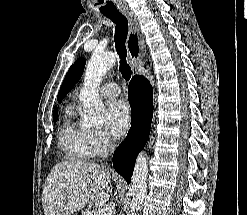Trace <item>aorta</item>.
<instances>
[{"mask_svg":"<svg viewBox=\"0 0 247 215\" xmlns=\"http://www.w3.org/2000/svg\"><path fill=\"white\" fill-rule=\"evenodd\" d=\"M115 64L113 53L94 52L86 66L84 84L80 90L83 103L82 124L87 128H100L103 125L104 106L99 99V86L106 72ZM148 177L147 156L139 153L130 186L131 213L134 215L141 208L145 198Z\"/></svg>","mask_w":247,"mask_h":215,"instance_id":"aorta-1","label":"aorta"}]
</instances>
